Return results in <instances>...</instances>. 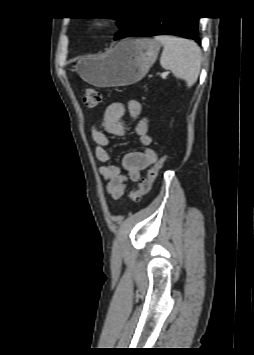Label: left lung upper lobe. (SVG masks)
I'll return each mask as SVG.
<instances>
[{
	"label": "left lung upper lobe",
	"instance_id": "1",
	"mask_svg": "<svg viewBox=\"0 0 254 355\" xmlns=\"http://www.w3.org/2000/svg\"><path fill=\"white\" fill-rule=\"evenodd\" d=\"M119 22L120 31L115 36V40L124 36L135 24L137 18H115Z\"/></svg>",
	"mask_w": 254,
	"mask_h": 355
}]
</instances>
